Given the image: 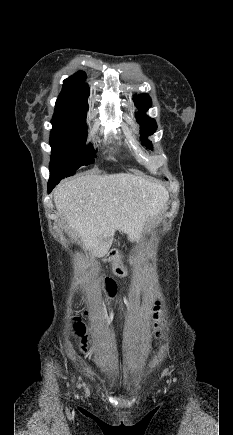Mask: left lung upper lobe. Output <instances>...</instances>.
Returning a JSON list of instances; mask_svg holds the SVG:
<instances>
[{"instance_id":"obj_1","label":"left lung upper lobe","mask_w":233,"mask_h":435,"mask_svg":"<svg viewBox=\"0 0 233 435\" xmlns=\"http://www.w3.org/2000/svg\"><path fill=\"white\" fill-rule=\"evenodd\" d=\"M134 103L139 109V112L136 114V119L141 126L142 135L144 137L152 135L157 129L156 121L145 114L147 109L152 105L151 98L148 94H140L135 96ZM143 143L148 149L152 148L150 141L144 140Z\"/></svg>"}]
</instances>
